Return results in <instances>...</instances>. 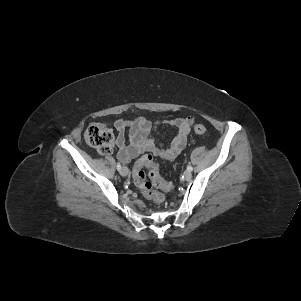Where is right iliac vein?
<instances>
[{
    "mask_svg": "<svg viewBox=\"0 0 301 301\" xmlns=\"http://www.w3.org/2000/svg\"><path fill=\"white\" fill-rule=\"evenodd\" d=\"M120 174L122 176H127L129 174V170L127 167H122L121 170H120Z\"/></svg>",
    "mask_w": 301,
    "mask_h": 301,
    "instance_id": "63e3f726",
    "label": "right iliac vein"
}]
</instances>
